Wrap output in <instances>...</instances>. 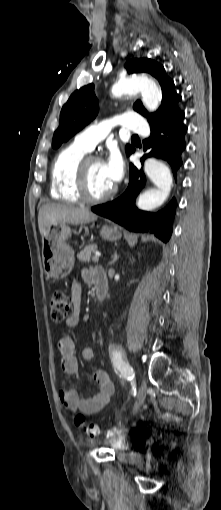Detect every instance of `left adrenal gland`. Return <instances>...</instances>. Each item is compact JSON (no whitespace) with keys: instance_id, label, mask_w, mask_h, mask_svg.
Returning <instances> with one entry per match:
<instances>
[{"instance_id":"left-adrenal-gland-1","label":"left adrenal gland","mask_w":221,"mask_h":510,"mask_svg":"<svg viewBox=\"0 0 221 510\" xmlns=\"http://www.w3.org/2000/svg\"><path fill=\"white\" fill-rule=\"evenodd\" d=\"M118 259L119 256L117 254V251H115L114 254L112 255V260L109 262V265H113Z\"/></svg>"}]
</instances>
